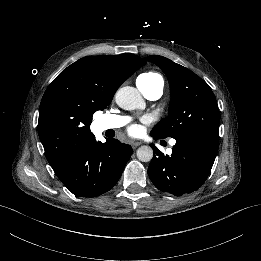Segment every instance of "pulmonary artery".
<instances>
[{"instance_id":"1","label":"pulmonary artery","mask_w":261,"mask_h":261,"mask_svg":"<svg viewBox=\"0 0 261 261\" xmlns=\"http://www.w3.org/2000/svg\"><path fill=\"white\" fill-rule=\"evenodd\" d=\"M137 86L139 89H141L140 83L137 81ZM141 93L143 96L150 100V101H155L158 100L162 94H163V87L161 86H155L151 88H142ZM129 118L126 116H121V115H109L107 116L104 121V127L107 129H119L126 125L128 122ZM170 146H174L176 144L175 139H171L169 142Z\"/></svg>"}]
</instances>
